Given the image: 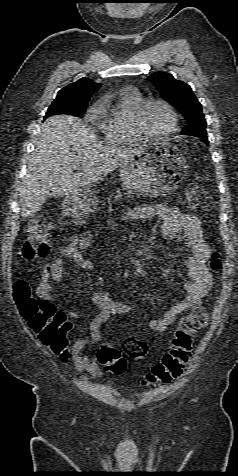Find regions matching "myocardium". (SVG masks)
Here are the masks:
<instances>
[{"label":"myocardium","mask_w":238,"mask_h":476,"mask_svg":"<svg viewBox=\"0 0 238 476\" xmlns=\"http://www.w3.org/2000/svg\"><path fill=\"white\" fill-rule=\"evenodd\" d=\"M152 104H161L162 106H164L169 112L171 117L170 127L164 134L160 136H152L148 134L143 126V115L146 109ZM178 122H179V119H178L177 112L174 109V107L171 105V103H169L168 101L162 98H149V99L143 100L139 104L137 109L135 110L133 120H132V125H133V130L135 134L138 136V138L141 141L161 142V141L167 140L172 134L175 133V131L178 128Z\"/></svg>","instance_id":"f54148a6"}]
</instances>
